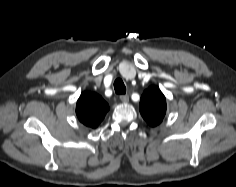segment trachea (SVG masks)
<instances>
[{
    "label": "trachea",
    "instance_id": "trachea-1",
    "mask_svg": "<svg viewBox=\"0 0 236 187\" xmlns=\"http://www.w3.org/2000/svg\"><path fill=\"white\" fill-rule=\"evenodd\" d=\"M114 89L117 94H125L126 93V87L124 85V82L118 78L114 81Z\"/></svg>",
    "mask_w": 236,
    "mask_h": 187
}]
</instances>
